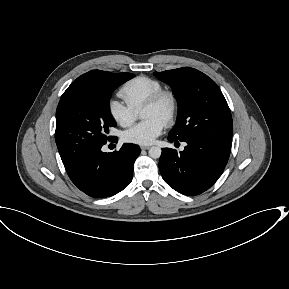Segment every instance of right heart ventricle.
I'll return each mask as SVG.
<instances>
[{
	"label": "right heart ventricle",
	"mask_w": 289,
	"mask_h": 289,
	"mask_svg": "<svg viewBox=\"0 0 289 289\" xmlns=\"http://www.w3.org/2000/svg\"><path fill=\"white\" fill-rule=\"evenodd\" d=\"M162 84L151 77L138 76L126 82L119 91L120 96L136 112L156 92L162 90Z\"/></svg>",
	"instance_id": "obj_1"
}]
</instances>
